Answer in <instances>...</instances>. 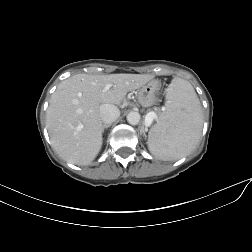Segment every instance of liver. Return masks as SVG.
Instances as JSON below:
<instances>
[{
	"label": "liver",
	"mask_w": 252,
	"mask_h": 252,
	"mask_svg": "<svg viewBox=\"0 0 252 252\" xmlns=\"http://www.w3.org/2000/svg\"><path fill=\"white\" fill-rule=\"evenodd\" d=\"M152 79L145 74H77L59 84L47 109L51 145L65 161L88 165L102 148V104L120 105L129 91ZM107 85L111 87L104 90Z\"/></svg>",
	"instance_id": "6515ba94"
}]
</instances>
